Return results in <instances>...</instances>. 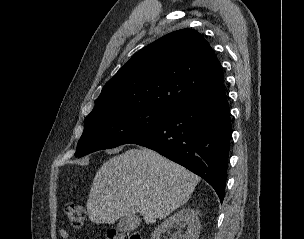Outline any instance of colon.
Here are the masks:
<instances>
[{
	"mask_svg": "<svg viewBox=\"0 0 304 239\" xmlns=\"http://www.w3.org/2000/svg\"><path fill=\"white\" fill-rule=\"evenodd\" d=\"M65 214L69 223L74 228H80L85 220V208L79 203H68L65 206ZM106 239H142L139 232H120L115 229H111L106 234Z\"/></svg>",
	"mask_w": 304,
	"mask_h": 239,
	"instance_id": "colon-1",
	"label": "colon"
}]
</instances>
